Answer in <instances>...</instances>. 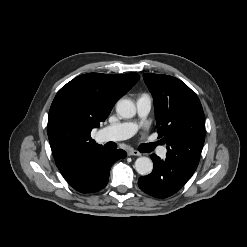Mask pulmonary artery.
<instances>
[{"label":"pulmonary artery","instance_id":"obj_1","mask_svg":"<svg viewBox=\"0 0 247 247\" xmlns=\"http://www.w3.org/2000/svg\"><path fill=\"white\" fill-rule=\"evenodd\" d=\"M137 113L139 118L144 119L151 110V99L147 95H142L136 100ZM136 122H123L104 128L100 132L103 141H120L131 137L137 130ZM167 149L161 147L158 154L161 157L166 155Z\"/></svg>","mask_w":247,"mask_h":247}]
</instances>
